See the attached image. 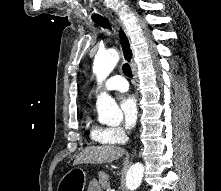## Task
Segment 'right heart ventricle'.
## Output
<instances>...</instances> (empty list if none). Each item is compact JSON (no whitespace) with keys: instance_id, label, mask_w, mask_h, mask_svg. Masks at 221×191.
<instances>
[{"instance_id":"1","label":"right heart ventricle","mask_w":221,"mask_h":191,"mask_svg":"<svg viewBox=\"0 0 221 191\" xmlns=\"http://www.w3.org/2000/svg\"><path fill=\"white\" fill-rule=\"evenodd\" d=\"M88 130L89 138L92 142L100 145H107L113 143L106 134V128L89 123Z\"/></svg>"}]
</instances>
